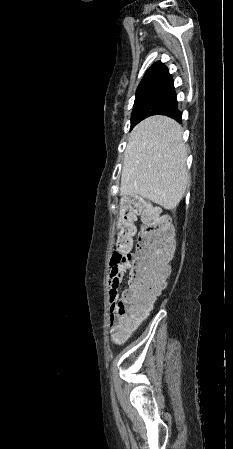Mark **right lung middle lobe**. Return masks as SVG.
Masks as SVG:
<instances>
[{
	"label": "right lung middle lobe",
	"instance_id": "obj_1",
	"mask_svg": "<svg viewBox=\"0 0 233 449\" xmlns=\"http://www.w3.org/2000/svg\"><path fill=\"white\" fill-rule=\"evenodd\" d=\"M177 104L174 90H153L136 94L131 115V129L140 121L151 115Z\"/></svg>",
	"mask_w": 233,
	"mask_h": 449
}]
</instances>
